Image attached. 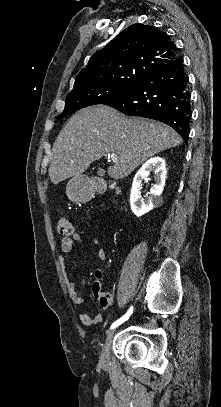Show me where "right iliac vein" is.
<instances>
[{"mask_svg": "<svg viewBox=\"0 0 221 407\" xmlns=\"http://www.w3.org/2000/svg\"><path fill=\"white\" fill-rule=\"evenodd\" d=\"M116 332V329H112L108 332L107 338L105 340V343L102 347L101 355H100V363L101 364H106L109 362V356H110V346L111 342L113 339V336Z\"/></svg>", "mask_w": 221, "mask_h": 407, "instance_id": "63e3f726", "label": "right iliac vein"}]
</instances>
